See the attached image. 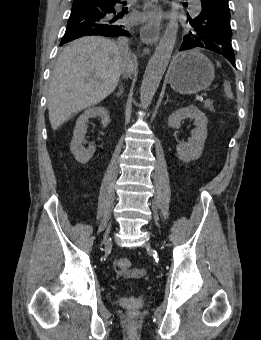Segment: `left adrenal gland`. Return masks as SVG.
Instances as JSON below:
<instances>
[{
	"label": "left adrenal gland",
	"mask_w": 261,
	"mask_h": 340,
	"mask_svg": "<svg viewBox=\"0 0 261 340\" xmlns=\"http://www.w3.org/2000/svg\"><path fill=\"white\" fill-rule=\"evenodd\" d=\"M169 102V96L167 95L166 101H165V105Z\"/></svg>",
	"instance_id": "left-adrenal-gland-1"
}]
</instances>
